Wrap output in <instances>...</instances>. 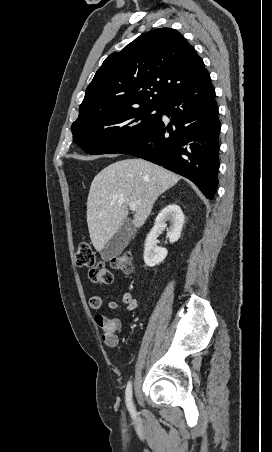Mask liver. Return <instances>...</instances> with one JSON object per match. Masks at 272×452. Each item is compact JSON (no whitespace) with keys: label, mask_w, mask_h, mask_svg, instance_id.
<instances>
[{"label":"liver","mask_w":272,"mask_h":452,"mask_svg":"<svg viewBox=\"0 0 272 452\" xmlns=\"http://www.w3.org/2000/svg\"><path fill=\"white\" fill-rule=\"evenodd\" d=\"M179 177L144 159H125L110 164L93 179L87 199V224L96 251L118 231L136 203L133 224L141 227L156 199L174 186Z\"/></svg>","instance_id":"liver-1"}]
</instances>
